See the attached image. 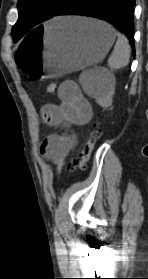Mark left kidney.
<instances>
[{"label":"left kidney","mask_w":148,"mask_h":279,"mask_svg":"<svg viewBox=\"0 0 148 279\" xmlns=\"http://www.w3.org/2000/svg\"><path fill=\"white\" fill-rule=\"evenodd\" d=\"M114 93V87L111 86L105 95L96 98V102L102 107H109L112 105Z\"/></svg>","instance_id":"1"}]
</instances>
